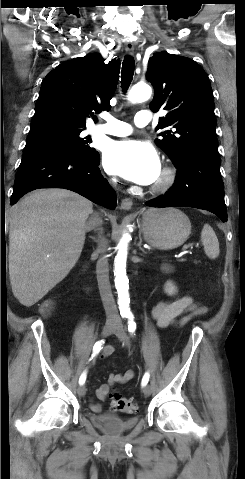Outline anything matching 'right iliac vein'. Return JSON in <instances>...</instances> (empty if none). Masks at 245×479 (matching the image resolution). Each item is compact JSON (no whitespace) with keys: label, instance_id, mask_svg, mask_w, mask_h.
<instances>
[{"label":"right iliac vein","instance_id":"obj_1","mask_svg":"<svg viewBox=\"0 0 245 479\" xmlns=\"http://www.w3.org/2000/svg\"><path fill=\"white\" fill-rule=\"evenodd\" d=\"M116 328V323L115 322H107L104 326H103V329H102V337H107L108 335L111 334V332L114 331V329ZM77 393L79 396H84L86 394V388L85 386H79L77 388Z\"/></svg>","mask_w":245,"mask_h":479}]
</instances>
